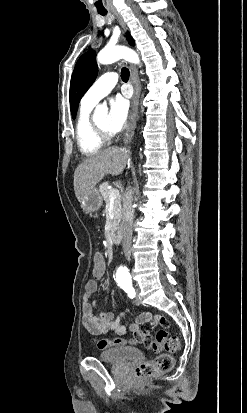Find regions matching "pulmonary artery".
<instances>
[{
  "instance_id": "pulmonary-artery-1",
  "label": "pulmonary artery",
  "mask_w": 247,
  "mask_h": 413,
  "mask_svg": "<svg viewBox=\"0 0 247 413\" xmlns=\"http://www.w3.org/2000/svg\"><path fill=\"white\" fill-rule=\"evenodd\" d=\"M118 80L115 72H107L99 76L85 92L83 102L85 106H93L110 92Z\"/></svg>"
}]
</instances>
